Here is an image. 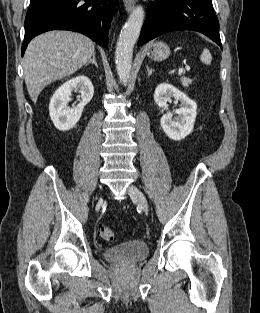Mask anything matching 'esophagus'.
Returning <instances> with one entry per match:
<instances>
[{"label":"esophagus","instance_id":"esophagus-1","mask_svg":"<svg viewBox=\"0 0 260 313\" xmlns=\"http://www.w3.org/2000/svg\"><path fill=\"white\" fill-rule=\"evenodd\" d=\"M124 6L127 12H131L135 6V0H124Z\"/></svg>","mask_w":260,"mask_h":313}]
</instances>
